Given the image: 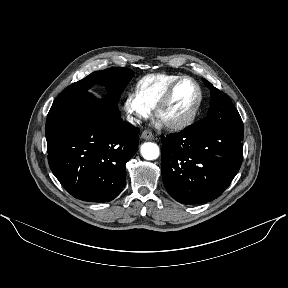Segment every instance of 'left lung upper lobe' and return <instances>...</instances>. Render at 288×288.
Wrapping results in <instances>:
<instances>
[{"label":"left lung upper lobe","instance_id":"5c2ea615","mask_svg":"<svg viewBox=\"0 0 288 288\" xmlns=\"http://www.w3.org/2000/svg\"><path fill=\"white\" fill-rule=\"evenodd\" d=\"M202 80L210 89L211 101L208 115L201 119V123L231 131L243 138V122L230 98L204 78Z\"/></svg>","mask_w":288,"mask_h":288}]
</instances>
